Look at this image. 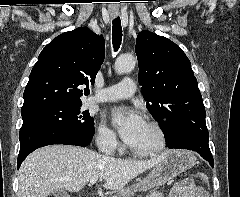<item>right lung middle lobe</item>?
I'll use <instances>...</instances> for the list:
<instances>
[{"mask_svg": "<svg viewBox=\"0 0 240 197\" xmlns=\"http://www.w3.org/2000/svg\"><path fill=\"white\" fill-rule=\"evenodd\" d=\"M79 103H49L22 110V118L47 120L72 129L85 138L94 135V119L88 111H81Z\"/></svg>", "mask_w": 240, "mask_h": 197, "instance_id": "dd1d6c3e", "label": "right lung middle lobe"}]
</instances>
